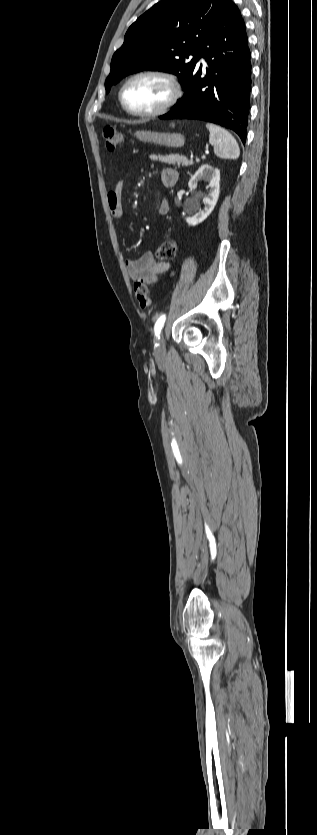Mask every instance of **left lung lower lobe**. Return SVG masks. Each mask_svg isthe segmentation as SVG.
I'll use <instances>...</instances> for the list:
<instances>
[{
  "label": "left lung lower lobe",
  "mask_w": 317,
  "mask_h": 835,
  "mask_svg": "<svg viewBox=\"0 0 317 835\" xmlns=\"http://www.w3.org/2000/svg\"><path fill=\"white\" fill-rule=\"evenodd\" d=\"M198 55L209 69L196 66L184 95L161 119H198L235 131L246 141L251 89L250 49L245 23L231 1ZM200 57H198V60ZM198 62V61H197Z\"/></svg>",
  "instance_id": "left-lung-lower-lobe-1"
}]
</instances>
